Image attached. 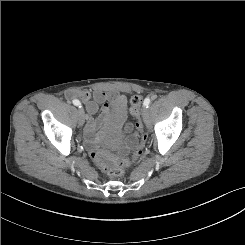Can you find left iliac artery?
<instances>
[{"label":"left iliac artery","instance_id":"1","mask_svg":"<svg viewBox=\"0 0 245 245\" xmlns=\"http://www.w3.org/2000/svg\"><path fill=\"white\" fill-rule=\"evenodd\" d=\"M150 102H151L150 98H145V100L143 102V106L148 108L150 105Z\"/></svg>","mask_w":245,"mask_h":245}]
</instances>
